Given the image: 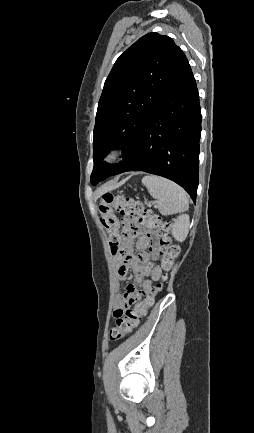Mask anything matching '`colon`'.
<instances>
[{
    "label": "colon",
    "instance_id": "5ec220e1",
    "mask_svg": "<svg viewBox=\"0 0 254 433\" xmlns=\"http://www.w3.org/2000/svg\"><path fill=\"white\" fill-rule=\"evenodd\" d=\"M98 209L113 255L124 256L127 250L128 234L146 228L155 230L161 240L162 268L169 271L173 267L179 254V247L169 236L170 223L162 222L158 215L153 214L141 202L112 193H105L99 198ZM115 213H119L122 219L119 220ZM159 290L160 287H157L153 296L140 301L128 296L124 305L114 311V324L110 329L112 341L120 340L138 327ZM133 304L135 307L132 308Z\"/></svg>",
    "mask_w": 254,
    "mask_h": 433
}]
</instances>
